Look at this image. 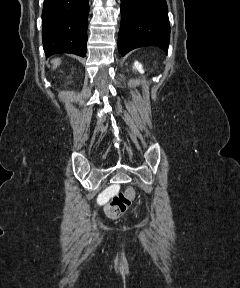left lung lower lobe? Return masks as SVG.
<instances>
[{"label": "left lung lower lobe", "mask_w": 240, "mask_h": 288, "mask_svg": "<svg viewBox=\"0 0 240 288\" xmlns=\"http://www.w3.org/2000/svg\"><path fill=\"white\" fill-rule=\"evenodd\" d=\"M170 25L166 0H121L118 50L121 55L142 46L167 51Z\"/></svg>", "instance_id": "left-lung-lower-lobe-1"}]
</instances>
